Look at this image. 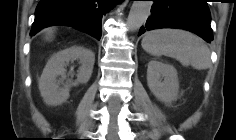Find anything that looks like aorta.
I'll return each instance as SVG.
<instances>
[{
    "label": "aorta",
    "instance_id": "762f6f07",
    "mask_svg": "<svg viewBox=\"0 0 236 140\" xmlns=\"http://www.w3.org/2000/svg\"><path fill=\"white\" fill-rule=\"evenodd\" d=\"M151 5V1H133L127 18V27L130 31H137L146 22Z\"/></svg>",
    "mask_w": 236,
    "mask_h": 140
}]
</instances>
